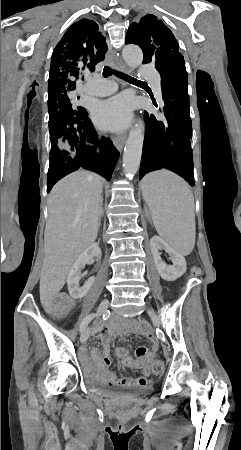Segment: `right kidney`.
<instances>
[{
  "mask_svg": "<svg viewBox=\"0 0 241 450\" xmlns=\"http://www.w3.org/2000/svg\"><path fill=\"white\" fill-rule=\"evenodd\" d=\"M92 258H101V250L98 244H92V246L86 248V250L78 256L68 274L67 286L69 294L74 300H81L83 296L88 294L91 286H93L95 278H89L84 286H81V288L79 286V280H81L83 276L81 272L84 270L86 264H90Z\"/></svg>",
  "mask_w": 241,
  "mask_h": 450,
  "instance_id": "ca27d5eb",
  "label": "right kidney"
}]
</instances>
